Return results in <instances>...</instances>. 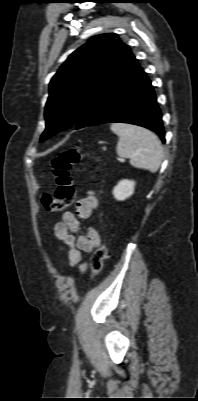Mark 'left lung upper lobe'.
Wrapping results in <instances>:
<instances>
[{"label": "left lung upper lobe", "instance_id": "obj_1", "mask_svg": "<svg viewBox=\"0 0 198 401\" xmlns=\"http://www.w3.org/2000/svg\"><path fill=\"white\" fill-rule=\"evenodd\" d=\"M131 54L113 33L94 36L75 50L50 81L40 142L74 126Z\"/></svg>", "mask_w": 198, "mask_h": 401}]
</instances>
